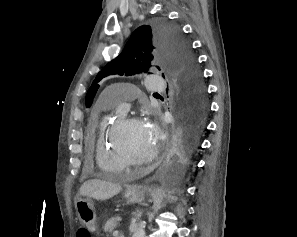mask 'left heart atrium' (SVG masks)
I'll return each mask as SVG.
<instances>
[{
  "mask_svg": "<svg viewBox=\"0 0 297 237\" xmlns=\"http://www.w3.org/2000/svg\"><path fill=\"white\" fill-rule=\"evenodd\" d=\"M147 135L150 137L152 141L155 143L158 142L160 136V130L156 122L146 119L143 122Z\"/></svg>",
  "mask_w": 297,
  "mask_h": 237,
  "instance_id": "1",
  "label": "left heart atrium"
}]
</instances>
